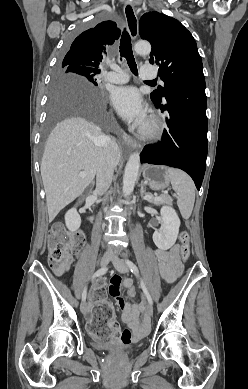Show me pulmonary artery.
Listing matches in <instances>:
<instances>
[{
    "label": "pulmonary artery",
    "instance_id": "obj_1",
    "mask_svg": "<svg viewBox=\"0 0 248 389\" xmlns=\"http://www.w3.org/2000/svg\"><path fill=\"white\" fill-rule=\"evenodd\" d=\"M112 69L113 71L108 72L105 75V79L107 81L120 84V83H125L129 80L128 73L122 70L117 65H112ZM140 74L141 77L145 80H153L156 78V75L152 70L151 66L146 64L142 65Z\"/></svg>",
    "mask_w": 248,
    "mask_h": 389
}]
</instances>
